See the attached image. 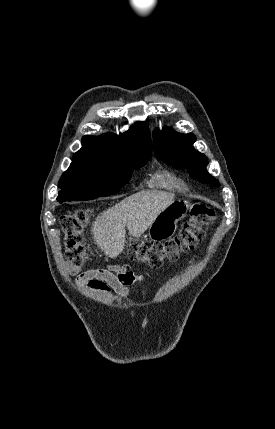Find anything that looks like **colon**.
Masks as SVG:
<instances>
[{"mask_svg": "<svg viewBox=\"0 0 275 429\" xmlns=\"http://www.w3.org/2000/svg\"><path fill=\"white\" fill-rule=\"evenodd\" d=\"M91 216L92 212L84 209L63 214L60 217L65 237V256L68 262L76 268L82 267L87 261V255L81 243V235ZM215 217L213 208L202 203H194L190 208L189 220L177 235L164 243L133 240L127 247V255L131 260L147 264L152 268L160 267L164 261H175L181 254L198 245ZM112 270L119 277L123 276L119 268Z\"/></svg>", "mask_w": 275, "mask_h": 429, "instance_id": "1", "label": "colon"}]
</instances>
